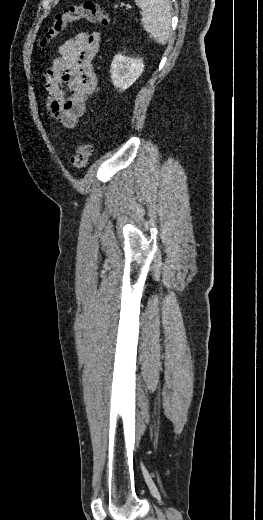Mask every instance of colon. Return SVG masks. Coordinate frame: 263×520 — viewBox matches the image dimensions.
<instances>
[{"mask_svg":"<svg viewBox=\"0 0 263 520\" xmlns=\"http://www.w3.org/2000/svg\"><path fill=\"white\" fill-rule=\"evenodd\" d=\"M80 20L104 26L111 22L109 14L98 3L86 1L81 5L70 6L55 15L53 22L48 27L41 41V45H46L50 40L62 33L69 25ZM91 154L92 147L90 144L83 143L79 145L76 153L70 159L71 167L74 169L85 168Z\"/></svg>","mask_w":263,"mask_h":520,"instance_id":"5ec220e1","label":"colon"}]
</instances>
